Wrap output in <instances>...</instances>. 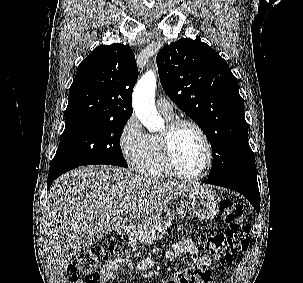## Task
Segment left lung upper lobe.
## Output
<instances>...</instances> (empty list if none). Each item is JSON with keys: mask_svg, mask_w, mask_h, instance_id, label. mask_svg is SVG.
I'll return each mask as SVG.
<instances>
[{"mask_svg": "<svg viewBox=\"0 0 303 283\" xmlns=\"http://www.w3.org/2000/svg\"><path fill=\"white\" fill-rule=\"evenodd\" d=\"M163 89L203 130L213 151L209 179L256 170L237 78L206 43L182 38L157 55Z\"/></svg>", "mask_w": 303, "mask_h": 283, "instance_id": "1", "label": "left lung upper lobe"}]
</instances>
